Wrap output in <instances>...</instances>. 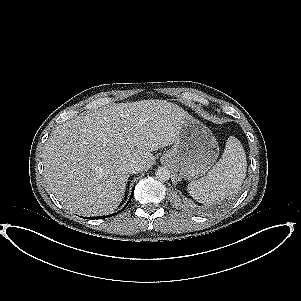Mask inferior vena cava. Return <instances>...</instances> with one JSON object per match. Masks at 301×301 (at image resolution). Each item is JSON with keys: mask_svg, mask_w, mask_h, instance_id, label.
Masks as SVG:
<instances>
[{"mask_svg": "<svg viewBox=\"0 0 301 301\" xmlns=\"http://www.w3.org/2000/svg\"><path fill=\"white\" fill-rule=\"evenodd\" d=\"M144 169V166L142 164L136 163V162H132L129 163L127 165V171L129 173H136V172H140Z\"/></svg>", "mask_w": 301, "mask_h": 301, "instance_id": "1", "label": "inferior vena cava"}]
</instances>
